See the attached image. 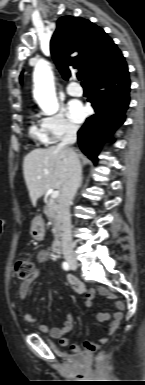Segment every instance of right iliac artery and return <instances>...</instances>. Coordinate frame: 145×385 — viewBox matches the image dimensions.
Here are the masks:
<instances>
[{"instance_id": "obj_1", "label": "right iliac artery", "mask_w": 145, "mask_h": 385, "mask_svg": "<svg viewBox=\"0 0 145 385\" xmlns=\"http://www.w3.org/2000/svg\"><path fill=\"white\" fill-rule=\"evenodd\" d=\"M62 267H63V269L66 270V271H68V270L70 269V266H69V264H68L67 262H63V263H62Z\"/></svg>"}]
</instances>
